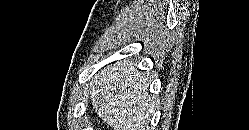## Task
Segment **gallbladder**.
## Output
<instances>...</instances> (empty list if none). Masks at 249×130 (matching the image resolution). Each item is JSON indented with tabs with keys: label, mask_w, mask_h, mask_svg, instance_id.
Listing matches in <instances>:
<instances>
[{
	"label": "gallbladder",
	"mask_w": 249,
	"mask_h": 130,
	"mask_svg": "<svg viewBox=\"0 0 249 130\" xmlns=\"http://www.w3.org/2000/svg\"><path fill=\"white\" fill-rule=\"evenodd\" d=\"M88 98L90 99V98H91V95L88 94Z\"/></svg>",
	"instance_id": "gallbladder-1"
}]
</instances>
